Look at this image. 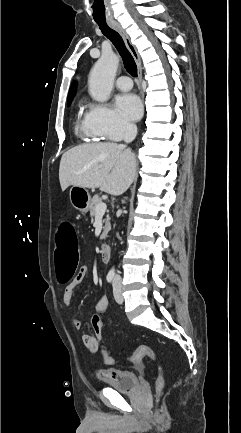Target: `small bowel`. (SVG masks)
<instances>
[{"label":"small bowel","mask_w":241,"mask_h":433,"mask_svg":"<svg viewBox=\"0 0 241 433\" xmlns=\"http://www.w3.org/2000/svg\"><path fill=\"white\" fill-rule=\"evenodd\" d=\"M88 268H89V266L87 264L82 265L80 267L79 271L77 272V274L71 280V282L65 287V289L63 291V295H62V300L66 306H70L72 297H73L75 291L77 290V288L80 286V284L84 280V278L88 272ZM107 307H108L107 298L105 297V295L100 294L98 299H97L96 305H95L96 311L98 313H103L106 311ZM72 324L76 329H80L82 327V322L78 318H73ZM101 327H102V323H101ZM82 340H83L85 346L91 352H97L99 350L98 347H96L95 349H90V347L88 346V342H90V341L95 342V343H99L97 337H94L93 335L86 333V334L82 335ZM111 372H116V371L112 370Z\"/></svg>","instance_id":"small-bowel-1"}]
</instances>
